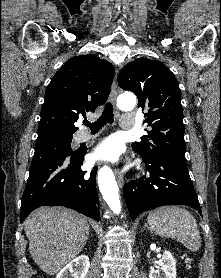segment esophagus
Instances as JSON below:
<instances>
[{"label":"esophagus","mask_w":221,"mask_h":278,"mask_svg":"<svg viewBox=\"0 0 221 278\" xmlns=\"http://www.w3.org/2000/svg\"><path fill=\"white\" fill-rule=\"evenodd\" d=\"M117 74H118V68L115 69V78H116ZM110 99L113 103H115L116 99H117V84H116L115 79L112 83ZM114 172H115V175H116V178H117V181H118L119 185L122 187L124 185L123 175L120 173L119 169H115Z\"/></svg>","instance_id":"1"}]
</instances>
